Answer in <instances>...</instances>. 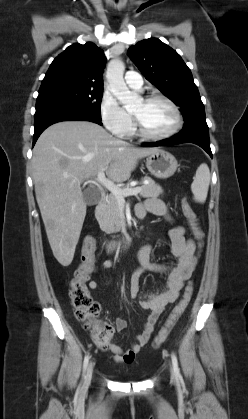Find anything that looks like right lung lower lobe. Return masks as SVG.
I'll return each instance as SVG.
<instances>
[{
  "label": "right lung lower lobe",
  "instance_id": "obj_1",
  "mask_svg": "<svg viewBox=\"0 0 248 419\" xmlns=\"http://www.w3.org/2000/svg\"><path fill=\"white\" fill-rule=\"evenodd\" d=\"M35 132L33 136V146L40 134L50 125L60 121H91L102 125L101 118L74 107H56L36 111L34 115Z\"/></svg>",
  "mask_w": 248,
  "mask_h": 419
}]
</instances>
